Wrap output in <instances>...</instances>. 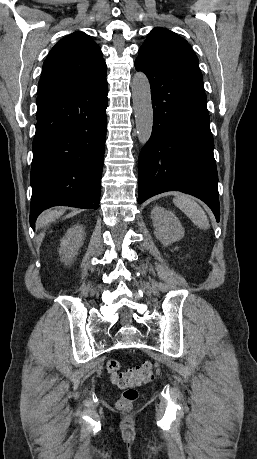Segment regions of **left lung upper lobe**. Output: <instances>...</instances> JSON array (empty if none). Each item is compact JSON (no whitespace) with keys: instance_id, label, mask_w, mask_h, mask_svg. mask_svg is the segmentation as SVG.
<instances>
[{"instance_id":"left-lung-upper-lobe-1","label":"left lung upper lobe","mask_w":257,"mask_h":459,"mask_svg":"<svg viewBox=\"0 0 257 459\" xmlns=\"http://www.w3.org/2000/svg\"><path fill=\"white\" fill-rule=\"evenodd\" d=\"M137 59L161 66H198V58L187 41L164 28H155L149 33Z\"/></svg>"}]
</instances>
